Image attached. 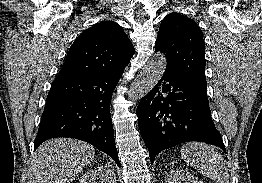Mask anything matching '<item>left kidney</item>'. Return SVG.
Wrapping results in <instances>:
<instances>
[{"label": "left kidney", "instance_id": "5707ae66", "mask_svg": "<svg viewBox=\"0 0 262 183\" xmlns=\"http://www.w3.org/2000/svg\"><path fill=\"white\" fill-rule=\"evenodd\" d=\"M165 183H203L196 176L181 168L171 169L165 178Z\"/></svg>", "mask_w": 262, "mask_h": 183}]
</instances>
